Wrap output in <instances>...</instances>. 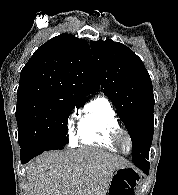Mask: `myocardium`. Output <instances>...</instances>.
<instances>
[{
	"instance_id": "obj_1",
	"label": "myocardium",
	"mask_w": 178,
	"mask_h": 195,
	"mask_svg": "<svg viewBox=\"0 0 178 195\" xmlns=\"http://www.w3.org/2000/svg\"><path fill=\"white\" fill-rule=\"evenodd\" d=\"M111 138H112V141L117 146V148L119 149L120 152H122L124 154H128L133 150L134 139H133V136L131 135V133L128 130H126L122 127L117 128L112 132ZM124 138H126L129 142V150L128 151H125L122 147V141H123Z\"/></svg>"
}]
</instances>
